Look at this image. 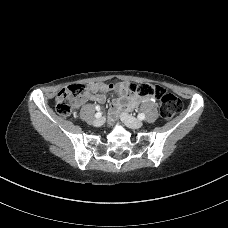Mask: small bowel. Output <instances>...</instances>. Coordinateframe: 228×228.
Segmentation results:
<instances>
[{"label":"small bowel","instance_id":"small-bowel-1","mask_svg":"<svg viewBox=\"0 0 228 228\" xmlns=\"http://www.w3.org/2000/svg\"><path fill=\"white\" fill-rule=\"evenodd\" d=\"M129 83L120 82L117 84L112 83H90L88 85L87 92L79 99V104H84L88 101H94L99 104H103L106 101V94L115 90L118 94V97L113 99L112 105L109 110V114L112 118L116 117L118 113L125 110H133L141 102H150L154 101V96L142 97L133 94L128 89Z\"/></svg>","mask_w":228,"mask_h":228}]
</instances>
